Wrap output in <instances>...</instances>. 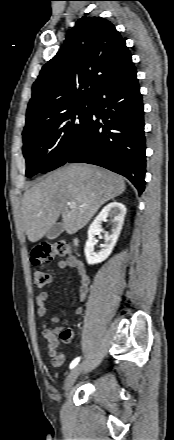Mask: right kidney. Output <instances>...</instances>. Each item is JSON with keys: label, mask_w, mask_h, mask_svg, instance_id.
I'll use <instances>...</instances> for the list:
<instances>
[{"label": "right kidney", "mask_w": 174, "mask_h": 440, "mask_svg": "<svg viewBox=\"0 0 174 440\" xmlns=\"http://www.w3.org/2000/svg\"><path fill=\"white\" fill-rule=\"evenodd\" d=\"M125 215V206L116 201L106 205L97 215L88 229V239L84 248L85 257L88 264L101 263L108 258L122 230ZM107 218H111L112 220L111 233L104 232L105 245L99 253L94 254V236L102 231L101 224L102 222L106 221Z\"/></svg>", "instance_id": "obj_1"}]
</instances>
